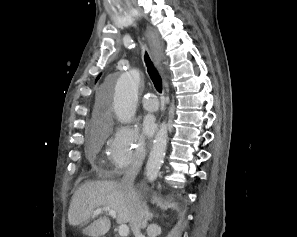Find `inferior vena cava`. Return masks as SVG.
I'll use <instances>...</instances> for the list:
<instances>
[{
  "instance_id": "obj_1",
  "label": "inferior vena cava",
  "mask_w": 297,
  "mask_h": 237,
  "mask_svg": "<svg viewBox=\"0 0 297 237\" xmlns=\"http://www.w3.org/2000/svg\"><path fill=\"white\" fill-rule=\"evenodd\" d=\"M138 167L132 166L127 170L119 185L128 199L131 211L130 227L135 237L140 236L143 217L146 215V205L134 190V180L138 174Z\"/></svg>"
}]
</instances>
